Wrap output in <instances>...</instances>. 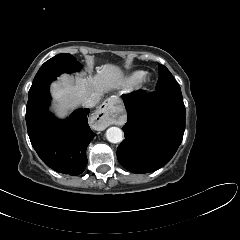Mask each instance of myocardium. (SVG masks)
<instances>
[{
    "instance_id": "f54148a6",
    "label": "myocardium",
    "mask_w": 240,
    "mask_h": 240,
    "mask_svg": "<svg viewBox=\"0 0 240 240\" xmlns=\"http://www.w3.org/2000/svg\"><path fill=\"white\" fill-rule=\"evenodd\" d=\"M150 81V77L148 75H144L139 81L140 85H146Z\"/></svg>"
}]
</instances>
